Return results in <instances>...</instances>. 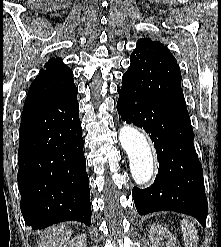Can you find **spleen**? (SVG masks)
Segmentation results:
<instances>
[{
  "mask_svg": "<svg viewBox=\"0 0 221 247\" xmlns=\"http://www.w3.org/2000/svg\"><path fill=\"white\" fill-rule=\"evenodd\" d=\"M181 228L183 231L185 247H197L198 231L194 223H191L188 220H182Z\"/></svg>",
  "mask_w": 221,
  "mask_h": 247,
  "instance_id": "1",
  "label": "spleen"
}]
</instances>
